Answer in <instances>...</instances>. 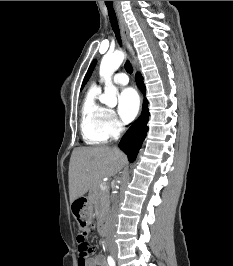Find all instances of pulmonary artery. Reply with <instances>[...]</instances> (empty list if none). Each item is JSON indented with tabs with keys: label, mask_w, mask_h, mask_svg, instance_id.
Wrapping results in <instances>:
<instances>
[{
	"label": "pulmonary artery",
	"mask_w": 233,
	"mask_h": 266,
	"mask_svg": "<svg viewBox=\"0 0 233 266\" xmlns=\"http://www.w3.org/2000/svg\"><path fill=\"white\" fill-rule=\"evenodd\" d=\"M113 82L118 85H126L129 82V78L125 73H117L113 77Z\"/></svg>",
	"instance_id": "obj_1"
}]
</instances>
